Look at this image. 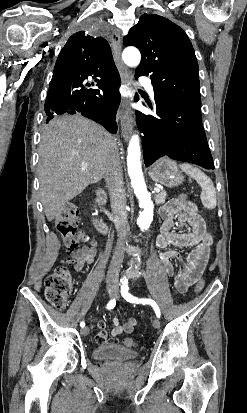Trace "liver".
<instances>
[{"instance_id":"6515ba94","label":"liver","mask_w":247,"mask_h":413,"mask_svg":"<svg viewBox=\"0 0 247 413\" xmlns=\"http://www.w3.org/2000/svg\"><path fill=\"white\" fill-rule=\"evenodd\" d=\"M112 134L80 114L57 116L42 128L38 180L47 221L105 174Z\"/></svg>"}]
</instances>
